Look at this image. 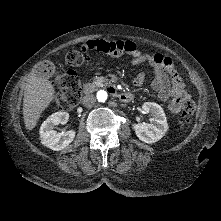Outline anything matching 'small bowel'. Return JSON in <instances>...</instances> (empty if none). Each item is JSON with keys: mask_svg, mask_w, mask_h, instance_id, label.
Masks as SVG:
<instances>
[{"mask_svg": "<svg viewBox=\"0 0 221 221\" xmlns=\"http://www.w3.org/2000/svg\"><path fill=\"white\" fill-rule=\"evenodd\" d=\"M82 51H98L113 57L123 54L129 55L132 65L146 63L153 71L152 88L158 93L162 101L167 102V107L172 113H178L184 102L189 98L185 84L177 73L171 58L160 53H142L131 40H106L91 39L82 46ZM146 78L144 72L139 73L133 80L135 86H141Z\"/></svg>", "mask_w": 221, "mask_h": 221, "instance_id": "c3829d8e", "label": "small bowel"}]
</instances>
